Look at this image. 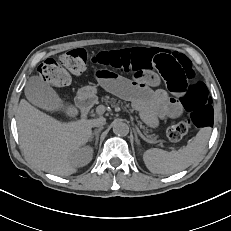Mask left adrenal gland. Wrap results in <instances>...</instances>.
<instances>
[{"instance_id":"left-adrenal-gland-1","label":"left adrenal gland","mask_w":231,"mask_h":231,"mask_svg":"<svg viewBox=\"0 0 231 231\" xmlns=\"http://www.w3.org/2000/svg\"><path fill=\"white\" fill-rule=\"evenodd\" d=\"M135 141H136V143L139 145L140 144V141H139V139H138V137H137V134L135 133Z\"/></svg>"}]
</instances>
